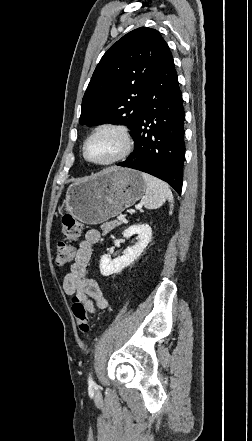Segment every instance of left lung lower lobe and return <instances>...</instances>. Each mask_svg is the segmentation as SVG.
<instances>
[{"label": "left lung lower lobe", "mask_w": 252, "mask_h": 441, "mask_svg": "<svg viewBox=\"0 0 252 441\" xmlns=\"http://www.w3.org/2000/svg\"><path fill=\"white\" fill-rule=\"evenodd\" d=\"M182 93L172 54L165 42L147 90L135 134V148L117 165L140 170L182 190L185 154Z\"/></svg>", "instance_id": "obj_1"}]
</instances>
